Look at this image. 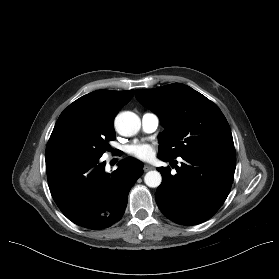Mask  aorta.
I'll use <instances>...</instances> for the list:
<instances>
[{
	"instance_id": "obj_1",
	"label": "aorta",
	"mask_w": 279,
	"mask_h": 279,
	"mask_svg": "<svg viewBox=\"0 0 279 279\" xmlns=\"http://www.w3.org/2000/svg\"><path fill=\"white\" fill-rule=\"evenodd\" d=\"M141 127L140 118L133 112L124 111L115 118L116 131L125 137H131L138 133ZM144 182L148 187L156 188L162 182L161 174L154 170L149 171L144 176Z\"/></svg>"
}]
</instances>
